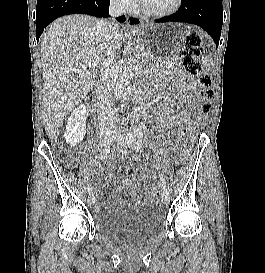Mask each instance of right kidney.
Segmentation results:
<instances>
[{
    "instance_id": "obj_1",
    "label": "right kidney",
    "mask_w": 265,
    "mask_h": 273,
    "mask_svg": "<svg viewBox=\"0 0 265 273\" xmlns=\"http://www.w3.org/2000/svg\"><path fill=\"white\" fill-rule=\"evenodd\" d=\"M88 116V109L85 105L78 106L68 119L64 138L70 146L79 144L86 133L85 121Z\"/></svg>"
}]
</instances>
